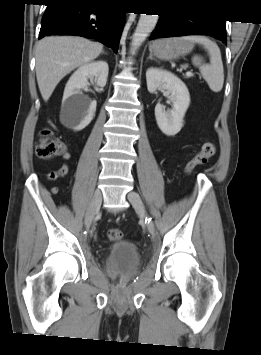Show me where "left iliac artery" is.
<instances>
[{
  "label": "left iliac artery",
  "instance_id": "44dca946",
  "mask_svg": "<svg viewBox=\"0 0 261 355\" xmlns=\"http://www.w3.org/2000/svg\"><path fill=\"white\" fill-rule=\"evenodd\" d=\"M147 221L150 222V221H151V218L146 219V222H147Z\"/></svg>",
  "mask_w": 261,
  "mask_h": 355
}]
</instances>
